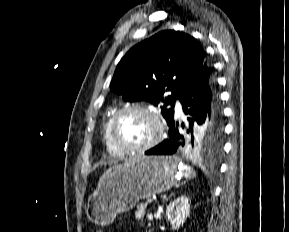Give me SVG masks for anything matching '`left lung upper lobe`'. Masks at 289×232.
<instances>
[{
    "instance_id": "obj_1",
    "label": "left lung upper lobe",
    "mask_w": 289,
    "mask_h": 232,
    "mask_svg": "<svg viewBox=\"0 0 289 232\" xmlns=\"http://www.w3.org/2000/svg\"><path fill=\"white\" fill-rule=\"evenodd\" d=\"M206 53L192 36L161 31L132 47L116 67L110 91L124 101L145 100L161 106L169 125L175 101L205 62ZM171 91V95L166 92ZM222 121H211L186 135V151L216 153L221 149Z\"/></svg>"
}]
</instances>
